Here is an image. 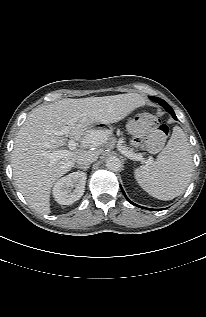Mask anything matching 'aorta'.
<instances>
[{
	"mask_svg": "<svg viewBox=\"0 0 206 317\" xmlns=\"http://www.w3.org/2000/svg\"><path fill=\"white\" fill-rule=\"evenodd\" d=\"M121 166V161L116 156H111L106 160V167L111 171H118L120 170Z\"/></svg>",
	"mask_w": 206,
	"mask_h": 317,
	"instance_id": "1",
	"label": "aorta"
}]
</instances>
